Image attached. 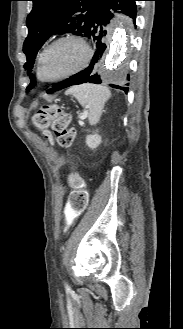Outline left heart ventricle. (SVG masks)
I'll use <instances>...</instances> for the list:
<instances>
[{
  "label": "left heart ventricle",
  "instance_id": "b2bd125f",
  "mask_svg": "<svg viewBox=\"0 0 183 329\" xmlns=\"http://www.w3.org/2000/svg\"><path fill=\"white\" fill-rule=\"evenodd\" d=\"M85 58L83 46L76 40H65L53 46L43 63L45 77L55 78L79 67Z\"/></svg>",
  "mask_w": 183,
  "mask_h": 329
}]
</instances>
